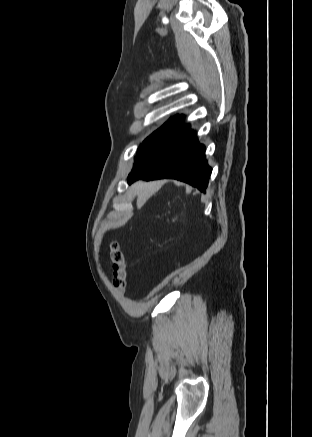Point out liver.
<instances>
[{"label": "liver", "instance_id": "obj_1", "mask_svg": "<svg viewBox=\"0 0 312 437\" xmlns=\"http://www.w3.org/2000/svg\"><path fill=\"white\" fill-rule=\"evenodd\" d=\"M164 180L142 182L139 181L133 185L134 191L137 193V208H141L146 201L155 194L165 183Z\"/></svg>", "mask_w": 312, "mask_h": 437}]
</instances>
